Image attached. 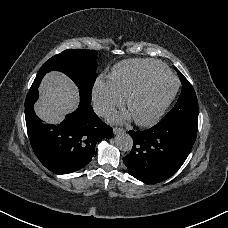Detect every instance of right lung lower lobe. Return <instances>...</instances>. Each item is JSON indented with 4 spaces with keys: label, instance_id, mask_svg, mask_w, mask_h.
<instances>
[{
    "label": "right lung lower lobe",
    "instance_id": "obj_1",
    "mask_svg": "<svg viewBox=\"0 0 228 228\" xmlns=\"http://www.w3.org/2000/svg\"><path fill=\"white\" fill-rule=\"evenodd\" d=\"M38 86L37 82L32 84L25 101L27 132L34 153L47 169L56 174H67L85 167L92 160L96 143L112 138V128L94 113L90 103L82 101L62 123H43L33 109Z\"/></svg>",
    "mask_w": 228,
    "mask_h": 228
}]
</instances>
